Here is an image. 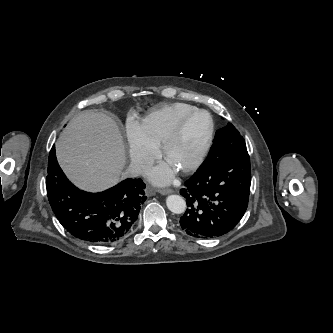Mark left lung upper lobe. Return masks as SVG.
I'll return each mask as SVG.
<instances>
[{"label": "left lung upper lobe", "mask_w": 333, "mask_h": 333, "mask_svg": "<svg viewBox=\"0 0 333 333\" xmlns=\"http://www.w3.org/2000/svg\"><path fill=\"white\" fill-rule=\"evenodd\" d=\"M226 127L232 130H236L231 123H228ZM242 150H246V144L243 137L237 131L236 133L234 132L231 137L212 144L208 156L218 158H231Z\"/></svg>", "instance_id": "5c2ea615"}]
</instances>
